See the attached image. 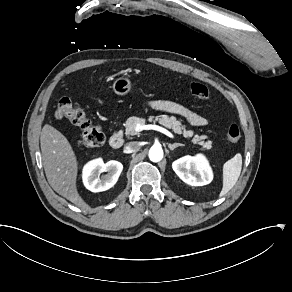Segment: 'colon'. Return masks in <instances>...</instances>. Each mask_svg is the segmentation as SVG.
Returning a JSON list of instances; mask_svg holds the SVG:
<instances>
[{
    "label": "colon",
    "instance_id": "5ec220e1",
    "mask_svg": "<svg viewBox=\"0 0 292 292\" xmlns=\"http://www.w3.org/2000/svg\"><path fill=\"white\" fill-rule=\"evenodd\" d=\"M191 93L200 99H209L210 96L208 88L201 83L192 84ZM55 116L82 128L83 132L78 140L80 146L96 147L104 142L105 134L102 129L89 117L84 108L71 98L63 97L60 99ZM227 134L231 142H236L241 138V131L237 125H230Z\"/></svg>",
    "mask_w": 292,
    "mask_h": 292
}]
</instances>
